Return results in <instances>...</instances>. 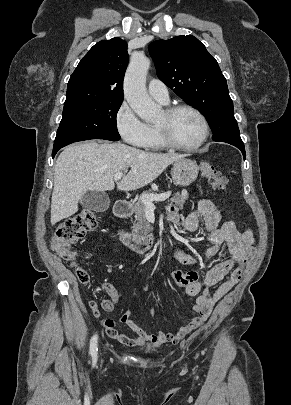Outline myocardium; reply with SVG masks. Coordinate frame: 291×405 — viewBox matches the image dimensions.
<instances>
[{"label": "myocardium", "mask_w": 291, "mask_h": 405, "mask_svg": "<svg viewBox=\"0 0 291 405\" xmlns=\"http://www.w3.org/2000/svg\"><path fill=\"white\" fill-rule=\"evenodd\" d=\"M181 110H189V111L195 113L200 118V120L202 122V125H203V135H202L201 139L197 143H195L193 145H182V144L176 142L172 138L169 126L166 123L164 125H156L159 136L161 138V141L163 142V144L166 147H169V148H172V149H175V150H180V151H194V150H197L200 147H202L209 138L210 125H209L208 119L201 110H199L197 107H195L193 105H190V104H175V105L168 106L164 110V113H165L167 119H170L177 112H179Z\"/></svg>", "instance_id": "myocardium-1"}]
</instances>
